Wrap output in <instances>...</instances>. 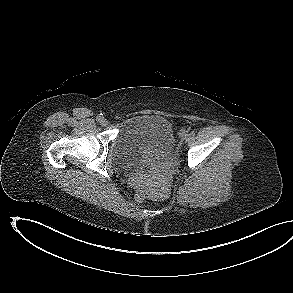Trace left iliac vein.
Wrapping results in <instances>:
<instances>
[{
	"label": "left iliac vein",
	"instance_id": "4c4485c4",
	"mask_svg": "<svg viewBox=\"0 0 293 293\" xmlns=\"http://www.w3.org/2000/svg\"><path fill=\"white\" fill-rule=\"evenodd\" d=\"M189 139H190V135L189 134H186L185 137H184V140L185 141H188Z\"/></svg>",
	"mask_w": 293,
	"mask_h": 293
}]
</instances>
